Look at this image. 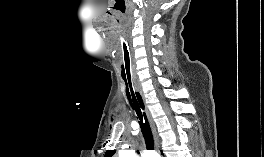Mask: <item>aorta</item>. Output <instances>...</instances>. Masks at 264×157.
<instances>
[{"label":"aorta","instance_id":"762f6f07","mask_svg":"<svg viewBox=\"0 0 264 157\" xmlns=\"http://www.w3.org/2000/svg\"><path fill=\"white\" fill-rule=\"evenodd\" d=\"M133 151H121L119 157H133Z\"/></svg>","mask_w":264,"mask_h":157}]
</instances>
